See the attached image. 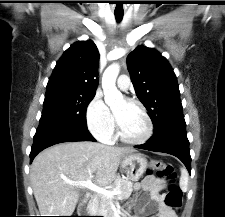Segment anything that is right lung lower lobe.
Returning <instances> with one entry per match:
<instances>
[{"label": "right lung lower lobe", "mask_w": 225, "mask_h": 217, "mask_svg": "<svg viewBox=\"0 0 225 217\" xmlns=\"http://www.w3.org/2000/svg\"><path fill=\"white\" fill-rule=\"evenodd\" d=\"M95 141L87 127H76L55 121H40L34 135L30 162L43 149L61 142Z\"/></svg>", "instance_id": "98d812e1"}]
</instances>
